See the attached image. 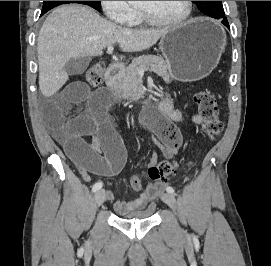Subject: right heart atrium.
<instances>
[{
    "label": "right heart atrium",
    "instance_id": "1",
    "mask_svg": "<svg viewBox=\"0 0 271 266\" xmlns=\"http://www.w3.org/2000/svg\"><path fill=\"white\" fill-rule=\"evenodd\" d=\"M100 4L112 23L128 25L135 16V9L127 1H100Z\"/></svg>",
    "mask_w": 271,
    "mask_h": 266
}]
</instances>
